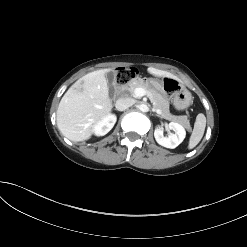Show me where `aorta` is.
Masks as SVG:
<instances>
[{
	"label": "aorta",
	"mask_w": 247,
	"mask_h": 247,
	"mask_svg": "<svg viewBox=\"0 0 247 247\" xmlns=\"http://www.w3.org/2000/svg\"><path fill=\"white\" fill-rule=\"evenodd\" d=\"M138 108L141 112H148V110H149V108L146 104H140Z\"/></svg>",
	"instance_id": "aorta-1"
}]
</instances>
